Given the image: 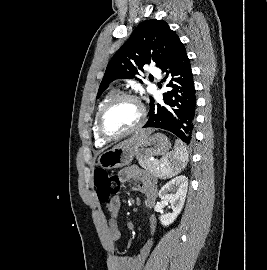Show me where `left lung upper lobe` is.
I'll list each match as a JSON object with an SVG mask.
<instances>
[{
  "label": "left lung upper lobe",
  "instance_id": "obj_1",
  "mask_svg": "<svg viewBox=\"0 0 267 270\" xmlns=\"http://www.w3.org/2000/svg\"><path fill=\"white\" fill-rule=\"evenodd\" d=\"M179 41L178 35L163 20L141 23L110 60L97 98L110 82L118 78H133L143 72L145 64L153 61L161 69Z\"/></svg>",
  "mask_w": 267,
  "mask_h": 270
}]
</instances>
